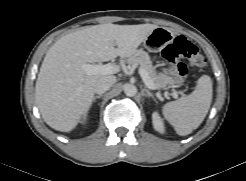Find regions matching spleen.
<instances>
[{
  "mask_svg": "<svg viewBox=\"0 0 246 181\" xmlns=\"http://www.w3.org/2000/svg\"><path fill=\"white\" fill-rule=\"evenodd\" d=\"M212 80L201 76L194 91L162 107L164 118L174 127L176 133L185 136L197 129L206 117L212 102Z\"/></svg>",
  "mask_w": 246,
  "mask_h": 181,
  "instance_id": "1",
  "label": "spleen"
}]
</instances>
